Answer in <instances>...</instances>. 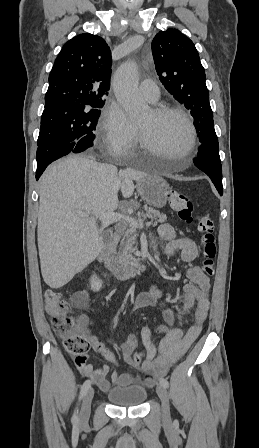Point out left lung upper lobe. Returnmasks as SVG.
Wrapping results in <instances>:
<instances>
[{
  "label": "left lung upper lobe",
  "mask_w": 259,
  "mask_h": 448,
  "mask_svg": "<svg viewBox=\"0 0 259 448\" xmlns=\"http://www.w3.org/2000/svg\"><path fill=\"white\" fill-rule=\"evenodd\" d=\"M152 54L159 79L190 110L201 143L218 139L209 103L206 76L193 42L177 29L156 34Z\"/></svg>",
  "instance_id": "5c2ea615"
}]
</instances>
